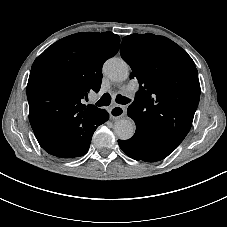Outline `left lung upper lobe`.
Segmentation results:
<instances>
[{
	"label": "left lung upper lobe",
	"instance_id": "obj_1",
	"mask_svg": "<svg viewBox=\"0 0 227 227\" xmlns=\"http://www.w3.org/2000/svg\"><path fill=\"white\" fill-rule=\"evenodd\" d=\"M121 56L140 84L128 116L153 141L176 149L191 128L200 98L193 60L175 42L154 34L124 37Z\"/></svg>",
	"mask_w": 227,
	"mask_h": 227
}]
</instances>
